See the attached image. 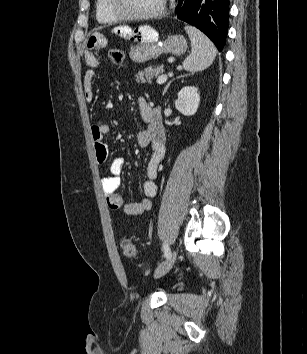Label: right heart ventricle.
Segmentation results:
<instances>
[{
  "instance_id": "e07e8e85",
  "label": "right heart ventricle",
  "mask_w": 307,
  "mask_h": 354,
  "mask_svg": "<svg viewBox=\"0 0 307 354\" xmlns=\"http://www.w3.org/2000/svg\"><path fill=\"white\" fill-rule=\"evenodd\" d=\"M95 14L97 21L102 24H112L118 21L109 9L108 0H96Z\"/></svg>"
}]
</instances>
